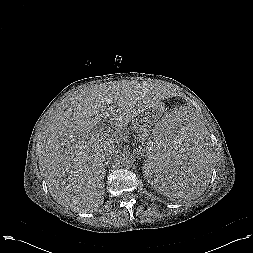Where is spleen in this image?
<instances>
[{
    "label": "spleen",
    "mask_w": 253,
    "mask_h": 253,
    "mask_svg": "<svg viewBox=\"0 0 253 253\" xmlns=\"http://www.w3.org/2000/svg\"><path fill=\"white\" fill-rule=\"evenodd\" d=\"M145 155L147 180L170 199L197 197L210 179V137L188 110H172L153 126Z\"/></svg>",
    "instance_id": "spleen-1"
}]
</instances>
